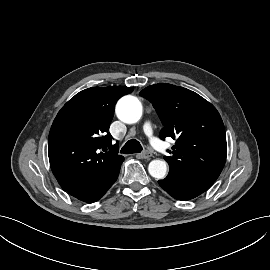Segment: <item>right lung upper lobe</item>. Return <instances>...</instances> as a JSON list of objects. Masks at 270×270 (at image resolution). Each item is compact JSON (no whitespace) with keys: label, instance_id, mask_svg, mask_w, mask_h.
Wrapping results in <instances>:
<instances>
[{"label":"right lung upper lobe","instance_id":"cb5924a9","mask_svg":"<svg viewBox=\"0 0 270 270\" xmlns=\"http://www.w3.org/2000/svg\"><path fill=\"white\" fill-rule=\"evenodd\" d=\"M132 87L85 89L58 112L48 137L50 167L63 190L106 177L124 157L108 132L117 100ZM103 150L104 152H101Z\"/></svg>","mask_w":270,"mask_h":270}]
</instances>
